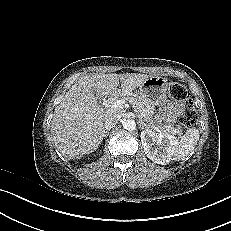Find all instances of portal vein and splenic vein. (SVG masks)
Here are the masks:
<instances>
[{
    "label": "portal vein and splenic vein",
    "mask_w": 231,
    "mask_h": 231,
    "mask_svg": "<svg viewBox=\"0 0 231 231\" xmlns=\"http://www.w3.org/2000/svg\"><path fill=\"white\" fill-rule=\"evenodd\" d=\"M123 104H124V100H117V101L111 106V108H113L114 111H115V110H120V109H122ZM114 111H112V112H114Z\"/></svg>",
    "instance_id": "1"
}]
</instances>
